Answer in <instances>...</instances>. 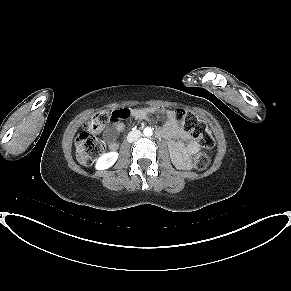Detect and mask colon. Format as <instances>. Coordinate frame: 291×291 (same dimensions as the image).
<instances>
[{
	"label": "colon",
	"mask_w": 291,
	"mask_h": 291,
	"mask_svg": "<svg viewBox=\"0 0 291 291\" xmlns=\"http://www.w3.org/2000/svg\"><path fill=\"white\" fill-rule=\"evenodd\" d=\"M131 112L127 108L118 109L111 114L100 112L95 114L85 125L83 131L76 139V154L79 163L83 166H91L96 158L105 151L104 144L97 139V136L104 132L109 121L113 118L127 119ZM177 121L182 128L195 136L199 144L206 149L214 146L215 141L205 122L195 114L185 109L175 111ZM209 164V156L199 152L192 158V167L196 170H203Z\"/></svg>",
	"instance_id": "5ec220e1"
}]
</instances>
